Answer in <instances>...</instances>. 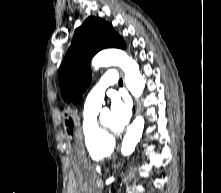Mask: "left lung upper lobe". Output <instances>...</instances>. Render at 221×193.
Instances as JSON below:
<instances>
[{
	"instance_id": "obj_1",
	"label": "left lung upper lobe",
	"mask_w": 221,
	"mask_h": 193,
	"mask_svg": "<svg viewBox=\"0 0 221 193\" xmlns=\"http://www.w3.org/2000/svg\"><path fill=\"white\" fill-rule=\"evenodd\" d=\"M105 48H125V42L101 18L88 17L76 29L71 47L59 70V82L63 98L77 104L91 81L90 60Z\"/></svg>"
}]
</instances>
